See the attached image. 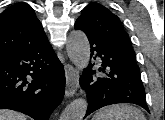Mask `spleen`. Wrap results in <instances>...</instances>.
Wrapping results in <instances>:
<instances>
[{"label":"spleen","instance_id":"1","mask_svg":"<svg viewBox=\"0 0 165 120\" xmlns=\"http://www.w3.org/2000/svg\"><path fill=\"white\" fill-rule=\"evenodd\" d=\"M92 120H146L140 109L128 104L110 105L100 109Z\"/></svg>","mask_w":165,"mask_h":120}]
</instances>
